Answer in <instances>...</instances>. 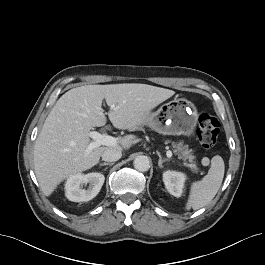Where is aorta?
<instances>
[{
  "label": "aorta",
  "mask_w": 265,
  "mask_h": 265,
  "mask_svg": "<svg viewBox=\"0 0 265 265\" xmlns=\"http://www.w3.org/2000/svg\"><path fill=\"white\" fill-rule=\"evenodd\" d=\"M134 168L140 172H145L149 170L150 162L149 158L144 155H139L134 159Z\"/></svg>",
  "instance_id": "1"
}]
</instances>
